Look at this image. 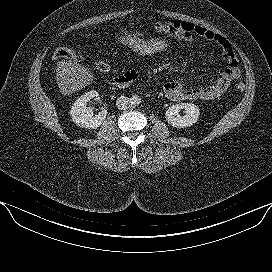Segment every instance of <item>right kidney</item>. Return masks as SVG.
<instances>
[{
  "label": "right kidney",
  "mask_w": 272,
  "mask_h": 272,
  "mask_svg": "<svg viewBox=\"0 0 272 272\" xmlns=\"http://www.w3.org/2000/svg\"><path fill=\"white\" fill-rule=\"evenodd\" d=\"M93 98H99V93L95 90L85 93L73 103L70 111L71 118L80 127L96 129L106 119V109L103 108L101 112L94 115L93 109L88 106V102Z\"/></svg>",
  "instance_id": "right-kidney-1"
}]
</instances>
